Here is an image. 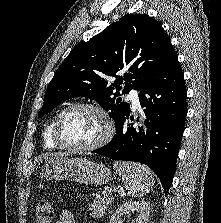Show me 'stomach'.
<instances>
[{"label":"stomach","mask_w":221,"mask_h":223,"mask_svg":"<svg viewBox=\"0 0 221 223\" xmlns=\"http://www.w3.org/2000/svg\"><path fill=\"white\" fill-rule=\"evenodd\" d=\"M44 180H71L82 184H105L111 178V171L103 164L87 158H61L49 162L41 172Z\"/></svg>","instance_id":"1"}]
</instances>
